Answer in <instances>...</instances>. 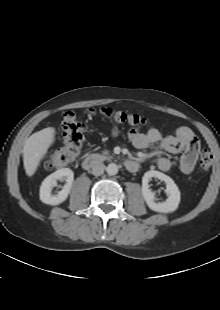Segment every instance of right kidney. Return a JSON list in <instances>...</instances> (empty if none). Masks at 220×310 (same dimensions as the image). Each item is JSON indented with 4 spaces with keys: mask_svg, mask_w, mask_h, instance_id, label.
Wrapping results in <instances>:
<instances>
[{
    "mask_svg": "<svg viewBox=\"0 0 220 310\" xmlns=\"http://www.w3.org/2000/svg\"><path fill=\"white\" fill-rule=\"evenodd\" d=\"M57 180H65L62 190L52 195V188L57 186ZM74 173L69 168H62L47 176L40 186V200L49 205H58L64 202L71 190Z\"/></svg>",
    "mask_w": 220,
    "mask_h": 310,
    "instance_id": "right-kidney-1",
    "label": "right kidney"
}]
</instances>
